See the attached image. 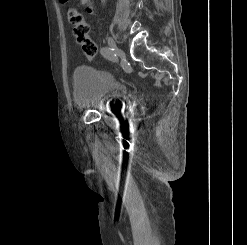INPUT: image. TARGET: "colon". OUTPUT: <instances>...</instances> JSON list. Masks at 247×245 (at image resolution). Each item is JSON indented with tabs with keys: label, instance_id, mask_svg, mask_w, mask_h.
I'll use <instances>...</instances> for the list:
<instances>
[{
	"label": "colon",
	"instance_id": "1",
	"mask_svg": "<svg viewBox=\"0 0 247 245\" xmlns=\"http://www.w3.org/2000/svg\"><path fill=\"white\" fill-rule=\"evenodd\" d=\"M62 3H66L69 0H60ZM67 17L69 22L73 25V33L78 42L81 45L84 53L93 58L96 54V45L89 37V27L84 20L82 13L74 8L70 7L67 10Z\"/></svg>",
	"mask_w": 247,
	"mask_h": 245
}]
</instances>
